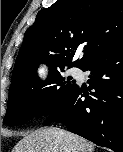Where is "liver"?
Masks as SVG:
<instances>
[{"label": "liver", "instance_id": "1", "mask_svg": "<svg viewBox=\"0 0 123 152\" xmlns=\"http://www.w3.org/2000/svg\"><path fill=\"white\" fill-rule=\"evenodd\" d=\"M12 152H94V144L79 135L49 127L23 137Z\"/></svg>", "mask_w": 123, "mask_h": 152}]
</instances>
